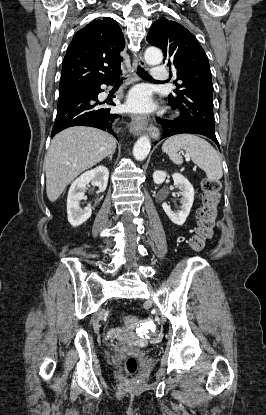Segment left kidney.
<instances>
[{
    "mask_svg": "<svg viewBox=\"0 0 266 415\" xmlns=\"http://www.w3.org/2000/svg\"><path fill=\"white\" fill-rule=\"evenodd\" d=\"M166 176L167 174L164 171H155L153 173L154 183L162 184L165 181ZM172 178L174 180V185L180 190V194L182 196L180 210H171L170 206L166 202L162 204V207L170 220L174 224L181 226L184 224L190 213L195 192L192 184L183 175L174 173Z\"/></svg>",
    "mask_w": 266,
    "mask_h": 415,
    "instance_id": "5707ae66",
    "label": "left kidney"
}]
</instances>
